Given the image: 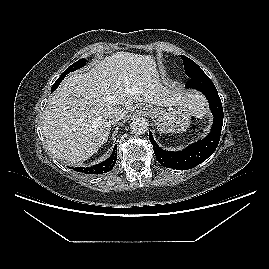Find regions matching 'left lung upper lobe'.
<instances>
[{
  "instance_id": "5c2ea615",
  "label": "left lung upper lobe",
  "mask_w": 269,
  "mask_h": 269,
  "mask_svg": "<svg viewBox=\"0 0 269 269\" xmlns=\"http://www.w3.org/2000/svg\"><path fill=\"white\" fill-rule=\"evenodd\" d=\"M183 60L185 74L190 78H196L201 75H206L203 70L191 59L188 57L181 55Z\"/></svg>"
}]
</instances>
